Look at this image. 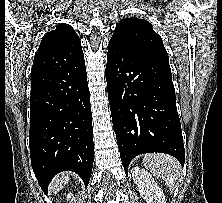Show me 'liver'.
<instances>
[{"label":"liver","instance_id":"liver-1","mask_svg":"<svg viewBox=\"0 0 222 203\" xmlns=\"http://www.w3.org/2000/svg\"><path fill=\"white\" fill-rule=\"evenodd\" d=\"M71 175L72 173L70 172H64L57 175L50 184L51 192L57 194L68 183Z\"/></svg>","mask_w":222,"mask_h":203}]
</instances>
